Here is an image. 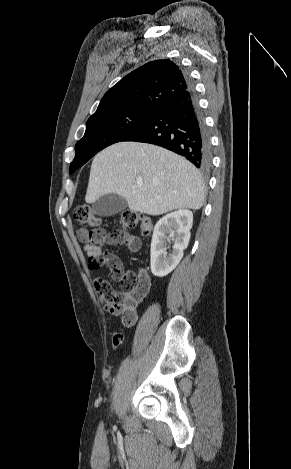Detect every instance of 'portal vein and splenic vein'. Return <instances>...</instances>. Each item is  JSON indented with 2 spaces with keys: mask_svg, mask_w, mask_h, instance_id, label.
I'll return each instance as SVG.
<instances>
[{
  "mask_svg": "<svg viewBox=\"0 0 291 469\" xmlns=\"http://www.w3.org/2000/svg\"><path fill=\"white\" fill-rule=\"evenodd\" d=\"M138 187H141V184H140V183L138 184Z\"/></svg>",
  "mask_w": 291,
  "mask_h": 469,
  "instance_id": "1",
  "label": "portal vein and splenic vein"
}]
</instances>
